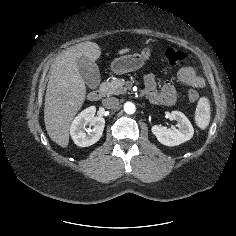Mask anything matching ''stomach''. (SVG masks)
Listing matches in <instances>:
<instances>
[{"mask_svg": "<svg viewBox=\"0 0 236 236\" xmlns=\"http://www.w3.org/2000/svg\"><path fill=\"white\" fill-rule=\"evenodd\" d=\"M152 48L145 46L140 53L124 55L116 58L111 63V70L115 74H124L136 71L144 65V62L149 59Z\"/></svg>", "mask_w": 236, "mask_h": 236, "instance_id": "0dacf381", "label": "stomach"}]
</instances>
